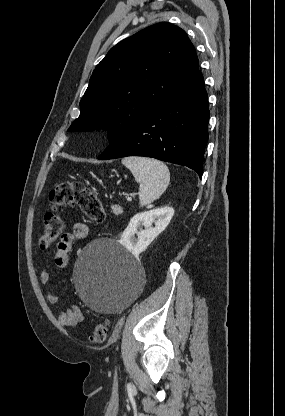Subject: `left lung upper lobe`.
I'll use <instances>...</instances> for the list:
<instances>
[{
	"instance_id": "obj_1",
	"label": "left lung upper lobe",
	"mask_w": 285,
	"mask_h": 416,
	"mask_svg": "<svg viewBox=\"0 0 285 416\" xmlns=\"http://www.w3.org/2000/svg\"><path fill=\"white\" fill-rule=\"evenodd\" d=\"M198 72L187 34L167 22L149 26L111 48L96 66L68 131L108 130L112 143L165 103Z\"/></svg>"
}]
</instances>
